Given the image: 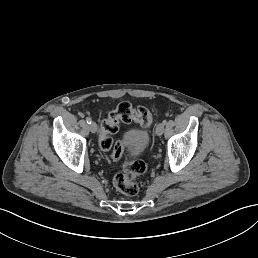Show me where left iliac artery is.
I'll return each instance as SVG.
<instances>
[{
	"mask_svg": "<svg viewBox=\"0 0 258 258\" xmlns=\"http://www.w3.org/2000/svg\"><path fill=\"white\" fill-rule=\"evenodd\" d=\"M162 123H163V125H166V124H167V120L164 119V120L162 121Z\"/></svg>",
	"mask_w": 258,
	"mask_h": 258,
	"instance_id": "44dca946",
	"label": "left iliac artery"
}]
</instances>
